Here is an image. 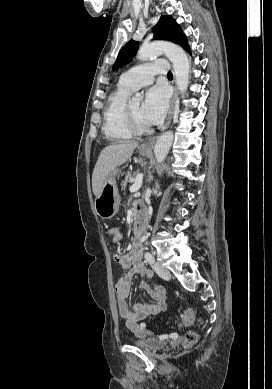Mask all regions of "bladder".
Segmentation results:
<instances>
[{"instance_id":"bladder-1","label":"bladder","mask_w":272,"mask_h":389,"mask_svg":"<svg viewBox=\"0 0 272 389\" xmlns=\"http://www.w3.org/2000/svg\"><path fill=\"white\" fill-rule=\"evenodd\" d=\"M132 343L134 346L150 352L161 350L165 345L164 341L158 338H143L134 340Z\"/></svg>"}]
</instances>
